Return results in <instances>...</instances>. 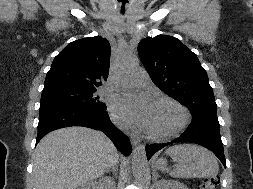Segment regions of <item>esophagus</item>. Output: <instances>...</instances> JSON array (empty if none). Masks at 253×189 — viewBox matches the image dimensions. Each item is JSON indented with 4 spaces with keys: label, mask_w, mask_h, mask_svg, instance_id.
Returning a JSON list of instances; mask_svg holds the SVG:
<instances>
[{
    "label": "esophagus",
    "mask_w": 253,
    "mask_h": 189,
    "mask_svg": "<svg viewBox=\"0 0 253 189\" xmlns=\"http://www.w3.org/2000/svg\"><path fill=\"white\" fill-rule=\"evenodd\" d=\"M130 141L133 146H136L140 142V139L136 135H130Z\"/></svg>",
    "instance_id": "obj_1"
}]
</instances>
